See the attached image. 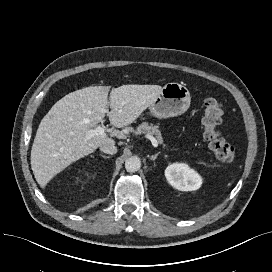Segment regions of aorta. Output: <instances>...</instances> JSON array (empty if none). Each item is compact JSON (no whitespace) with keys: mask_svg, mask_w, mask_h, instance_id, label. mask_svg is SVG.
<instances>
[{"mask_svg":"<svg viewBox=\"0 0 272 272\" xmlns=\"http://www.w3.org/2000/svg\"><path fill=\"white\" fill-rule=\"evenodd\" d=\"M141 167V160L137 156H132L125 161V169L127 172H136Z\"/></svg>","mask_w":272,"mask_h":272,"instance_id":"1","label":"aorta"}]
</instances>
